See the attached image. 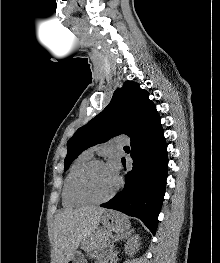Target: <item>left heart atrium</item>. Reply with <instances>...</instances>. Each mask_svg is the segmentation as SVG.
<instances>
[{
  "label": "left heart atrium",
  "instance_id": "1",
  "mask_svg": "<svg viewBox=\"0 0 220 263\" xmlns=\"http://www.w3.org/2000/svg\"><path fill=\"white\" fill-rule=\"evenodd\" d=\"M107 167L109 168V170L118 177V173H119V162L116 158H112L109 163L107 164Z\"/></svg>",
  "mask_w": 220,
  "mask_h": 263
}]
</instances>
